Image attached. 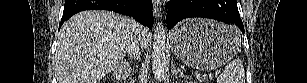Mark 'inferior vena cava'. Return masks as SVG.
<instances>
[{
	"label": "inferior vena cava",
	"instance_id": "602c4592",
	"mask_svg": "<svg viewBox=\"0 0 307 83\" xmlns=\"http://www.w3.org/2000/svg\"><path fill=\"white\" fill-rule=\"evenodd\" d=\"M131 26L133 29V35L128 43L127 51L131 61L140 60V49H139V37L137 35V28L140 26L135 20H131Z\"/></svg>",
	"mask_w": 307,
	"mask_h": 83
}]
</instances>
